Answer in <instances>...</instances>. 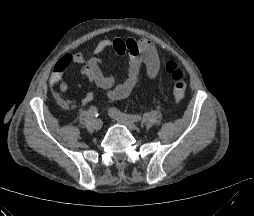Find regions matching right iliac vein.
<instances>
[{
  "mask_svg": "<svg viewBox=\"0 0 254 216\" xmlns=\"http://www.w3.org/2000/svg\"><path fill=\"white\" fill-rule=\"evenodd\" d=\"M103 126V122L101 119H96L93 121V127L95 130H100Z\"/></svg>",
  "mask_w": 254,
  "mask_h": 216,
  "instance_id": "1",
  "label": "right iliac vein"
}]
</instances>
